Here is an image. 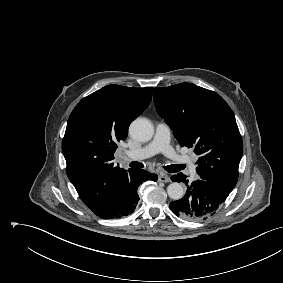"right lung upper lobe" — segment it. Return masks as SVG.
I'll return each mask as SVG.
<instances>
[{"instance_id": "right-lung-upper-lobe-1", "label": "right lung upper lobe", "mask_w": 283, "mask_h": 283, "mask_svg": "<svg viewBox=\"0 0 283 283\" xmlns=\"http://www.w3.org/2000/svg\"><path fill=\"white\" fill-rule=\"evenodd\" d=\"M151 98L152 87L108 85L83 98L70 114L62 140L66 173L88 208L126 189L134 169L114 166L113 154Z\"/></svg>"}]
</instances>
